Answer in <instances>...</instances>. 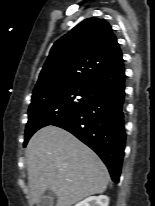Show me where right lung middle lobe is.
Returning <instances> with one entry per match:
<instances>
[{"label": "right lung middle lobe", "instance_id": "obj_1", "mask_svg": "<svg viewBox=\"0 0 155 206\" xmlns=\"http://www.w3.org/2000/svg\"><path fill=\"white\" fill-rule=\"evenodd\" d=\"M100 91L89 86L75 85L33 94L28 110L24 146L40 128L68 118L94 100Z\"/></svg>", "mask_w": 155, "mask_h": 206}]
</instances>
